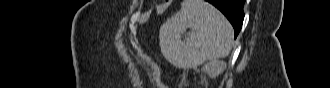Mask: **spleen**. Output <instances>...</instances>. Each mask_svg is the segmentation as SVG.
<instances>
[{"label":"spleen","instance_id":"3e777b00","mask_svg":"<svg viewBox=\"0 0 330 88\" xmlns=\"http://www.w3.org/2000/svg\"><path fill=\"white\" fill-rule=\"evenodd\" d=\"M189 28L186 42L181 34ZM233 28L224 15L204 0H186L160 27L163 56L179 68H195L225 58L233 45Z\"/></svg>","mask_w":330,"mask_h":88}]
</instances>
